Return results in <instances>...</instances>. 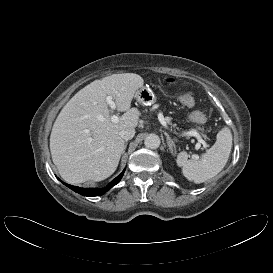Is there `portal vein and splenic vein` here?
I'll list each match as a JSON object with an SVG mask.
<instances>
[{
    "mask_svg": "<svg viewBox=\"0 0 273 273\" xmlns=\"http://www.w3.org/2000/svg\"><path fill=\"white\" fill-rule=\"evenodd\" d=\"M106 102H107V104L109 105V107L111 108V109H113V110H115L116 109V104H115V102L113 101V97L112 96H107L106 97ZM158 119H159V121H160V123L166 128V129H168V126H167V123H166V121H165V118H164V116L160 113L159 115H158ZM111 120H112V122H117L118 120H119V118H118V116H116V115H112L111 116ZM183 136H191V137H195L197 140H198V143H197V147L199 148L200 146H201V144H205V141L202 139V137H201V135L197 132V131H195V130H191V131H188V132H185L184 134H182ZM193 157L194 158H197L198 156L197 155H193Z\"/></svg>",
    "mask_w": 273,
    "mask_h": 273,
    "instance_id": "obj_1",
    "label": "portal vein and splenic vein"
}]
</instances>
